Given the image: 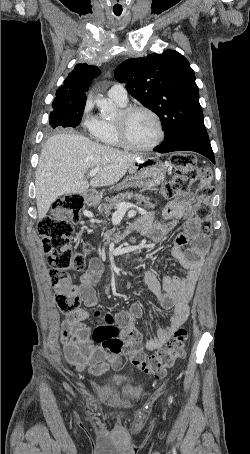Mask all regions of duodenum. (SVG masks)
<instances>
[{
  "label": "duodenum",
  "mask_w": 250,
  "mask_h": 454,
  "mask_svg": "<svg viewBox=\"0 0 250 454\" xmlns=\"http://www.w3.org/2000/svg\"><path fill=\"white\" fill-rule=\"evenodd\" d=\"M87 205L93 206L95 203V196L94 195H89L87 200H86ZM132 230H137L136 223L132 226Z\"/></svg>",
  "instance_id": "1"
}]
</instances>
